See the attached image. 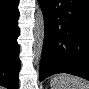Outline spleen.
<instances>
[{"label": "spleen", "mask_w": 89, "mask_h": 89, "mask_svg": "<svg viewBox=\"0 0 89 89\" xmlns=\"http://www.w3.org/2000/svg\"><path fill=\"white\" fill-rule=\"evenodd\" d=\"M50 86L51 89H89V82L83 78L62 73L50 80Z\"/></svg>", "instance_id": "spleen-1"}]
</instances>
